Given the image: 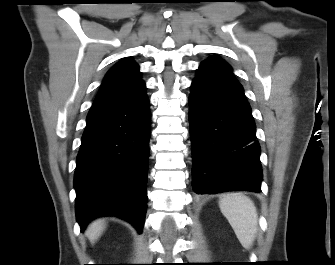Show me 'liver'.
<instances>
[{"label":"liver","mask_w":335,"mask_h":265,"mask_svg":"<svg viewBox=\"0 0 335 265\" xmlns=\"http://www.w3.org/2000/svg\"><path fill=\"white\" fill-rule=\"evenodd\" d=\"M104 229L105 225L103 220L98 219L92 222L86 231V235L90 242L94 243L100 237Z\"/></svg>","instance_id":"1"}]
</instances>
